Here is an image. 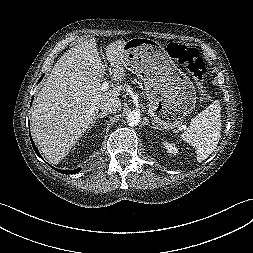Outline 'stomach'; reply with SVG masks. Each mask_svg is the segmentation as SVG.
Masks as SVG:
<instances>
[{"mask_svg": "<svg viewBox=\"0 0 253 253\" xmlns=\"http://www.w3.org/2000/svg\"><path fill=\"white\" fill-rule=\"evenodd\" d=\"M126 68L143 80L148 113L156 126L173 129L196 104L192 81L178 69L158 41L133 38L122 47Z\"/></svg>", "mask_w": 253, "mask_h": 253, "instance_id": "0dacf381", "label": "stomach"}]
</instances>
